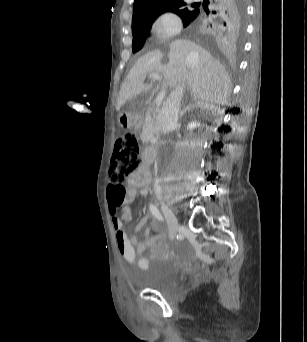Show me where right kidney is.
Here are the masks:
<instances>
[{"label": "right kidney", "mask_w": 307, "mask_h": 342, "mask_svg": "<svg viewBox=\"0 0 307 342\" xmlns=\"http://www.w3.org/2000/svg\"><path fill=\"white\" fill-rule=\"evenodd\" d=\"M197 126H199V124H197V122H190V124H188L187 128H188V130H194V128H197Z\"/></svg>", "instance_id": "right-kidney-1"}]
</instances>
